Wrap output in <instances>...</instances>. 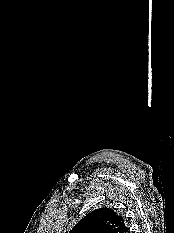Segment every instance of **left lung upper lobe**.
Returning a JSON list of instances; mask_svg holds the SVG:
<instances>
[{"label":"left lung upper lobe","instance_id":"left-lung-upper-lobe-1","mask_svg":"<svg viewBox=\"0 0 174 233\" xmlns=\"http://www.w3.org/2000/svg\"><path fill=\"white\" fill-rule=\"evenodd\" d=\"M122 216L109 208H99L82 218L69 233H125Z\"/></svg>","mask_w":174,"mask_h":233}]
</instances>
